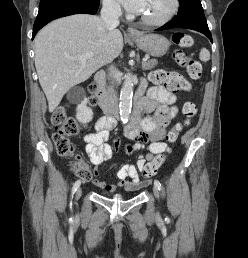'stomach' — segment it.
Listing matches in <instances>:
<instances>
[{
    "label": "stomach",
    "instance_id": "obj_1",
    "mask_svg": "<svg viewBox=\"0 0 248 258\" xmlns=\"http://www.w3.org/2000/svg\"><path fill=\"white\" fill-rule=\"evenodd\" d=\"M130 40L141 50L154 57L165 55L170 46V41L166 37L158 34L140 33L136 37H131Z\"/></svg>",
    "mask_w": 248,
    "mask_h": 258
}]
</instances>
